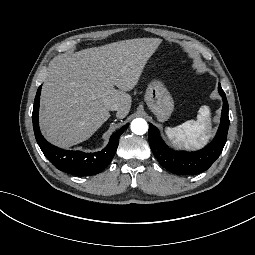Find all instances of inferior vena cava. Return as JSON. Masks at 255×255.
I'll list each match as a JSON object with an SVG mask.
<instances>
[{"instance_id": "602c4592", "label": "inferior vena cava", "mask_w": 255, "mask_h": 255, "mask_svg": "<svg viewBox=\"0 0 255 255\" xmlns=\"http://www.w3.org/2000/svg\"><path fill=\"white\" fill-rule=\"evenodd\" d=\"M119 109V104L118 103H113L109 105V110L114 111Z\"/></svg>"}]
</instances>
